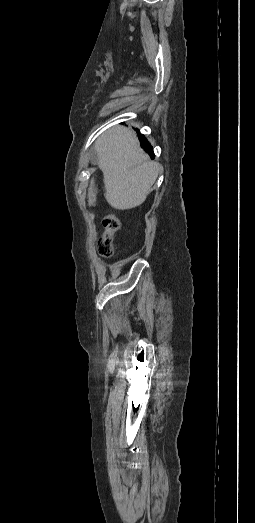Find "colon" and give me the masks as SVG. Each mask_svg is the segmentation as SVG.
Segmentation results:
<instances>
[{
	"label": "colon",
	"instance_id": "1",
	"mask_svg": "<svg viewBox=\"0 0 255 523\" xmlns=\"http://www.w3.org/2000/svg\"><path fill=\"white\" fill-rule=\"evenodd\" d=\"M95 199L96 190L92 184L88 192L89 204L94 205ZM103 228V234L97 243V251L100 256L109 258L114 253L113 240L115 233L120 229V222L114 214H107L103 219Z\"/></svg>",
	"mask_w": 255,
	"mask_h": 523
}]
</instances>
